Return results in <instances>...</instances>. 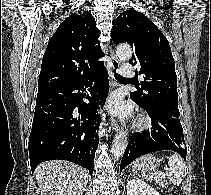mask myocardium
I'll list each match as a JSON object with an SVG mask.
<instances>
[{
    "mask_svg": "<svg viewBox=\"0 0 211 195\" xmlns=\"http://www.w3.org/2000/svg\"><path fill=\"white\" fill-rule=\"evenodd\" d=\"M135 127L139 130H147L152 127V118L149 115L142 114L137 117Z\"/></svg>",
    "mask_w": 211,
    "mask_h": 195,
    "instance_id": "f54148a6",
    "label": "myocardium"
}]
</instances>
